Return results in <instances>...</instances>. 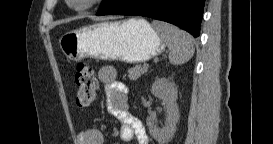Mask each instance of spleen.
<instances>
[{
  "label": "spleen",
  "instance_id": "1",
  "mask_svg": "<svg viewBox=\"0 0 273 144\" xmlns=\"http://www.w3.org/2000/svg\"><path fill=\"white\" fill-rule=\"evenodd\" d=\"M152 25L168 47L170 51L169 61L173 65L184 64L192 58L195 49L190 34L174 25L161 21H153Z\"/></svg>",
  "mask_w": 273,
  "mask_h": 144
}]
</instances>
